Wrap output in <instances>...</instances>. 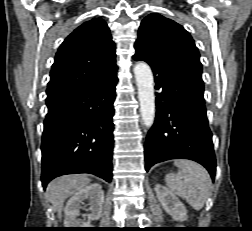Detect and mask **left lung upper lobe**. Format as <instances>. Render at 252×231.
<instances>
[{
	"label": "left lung upper lobe",
	"instance_id": "5c2ea615",
	"mask_svg": "<svg viewBox=\"0 0 252 231\" xmlns=\"http://www.w3.org/2000/svg\"><path fill=\"white\" fill-rule=\"evenodd\" d=\"M134 56L146 61L178 62L202 72L198 49L191 35L178 23L152 13L141 22Z\"/></svg>",
	"mask_w": 252,
	"mask_h": 231
}]
</instances>
